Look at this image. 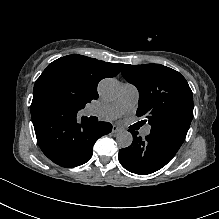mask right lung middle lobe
<instances>
[{"label": "right lung middle lobe", "instance_id": "dd1d6c3e", "mask_svg": "<svg viewBox=\"0 0 219 219\" xmlns=\"http://www.w3.org/2000/svg\"><path fill=\"white\" fill-rule=\"evenodd\" d=\"M42 110L46 114L60 116L75 115L77 113V108L71 97L60 90H50L44 95Z\"/></svg>", "mask_w": 219, "mask_h": 219}]
</instances>
